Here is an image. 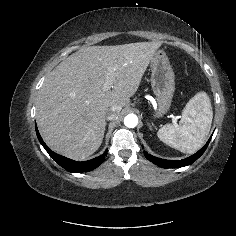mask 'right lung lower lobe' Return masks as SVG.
Instances as JSON below:
<instances>
[{"instance_id": "98d812e1", "label": "right lung lower lobe", "mask_w": 236, "mask_h": 236, "mask_svg": "<svg viewBox=\"0 0 236 236\" xmlns=\"http://www.w3.org/2000/svg\"><path fill=\"white\" fill-rule=\"evenodd\" d=\"M36 134L37 137L40 141V143L42 144V146L45 148V150L48 152V154L55 160L56 163H58L61 167H63L64 169H66L69 172H77V173H81V172H88L91 171L95 168H97L99 165H101L104 160H105V156L107 154L106 150L102 155L88 160V161H83V162H77L71 159H68L64 156L58 155L55 152H53L51 149H49L47 147V145L44 143V141L42 140L37 126H36Z\"/></svg>"}]
</instances>
